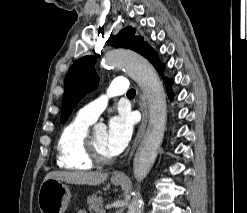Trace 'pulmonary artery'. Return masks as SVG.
Wrapping results in <instances>:
<instances>
[{
	"label": "pulmonary artery",
	"mask_w": 247,
	"mask_h": 213,
	"mask_svg": "<svg viewBox=\"0 0 247 213\" xmlns=\"http://www.w3.org/2000/svg\"><path fill=\"white\" fill-rule=\"evenodd\" d=\"M127 91V80L123 77L115 78L102 96L79 110L78 117L89 122L96 121L98 116L107 107L109 98L121 95Z\"/></svg>",
	"instance_id": "e3ab8cb5"
}]
</instances>
